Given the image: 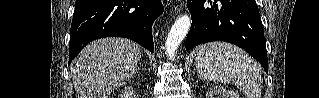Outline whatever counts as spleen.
I'll return each instance as SVG.
<instances>
[{
	"instance_id": "obj_1",
	"label": "spleen",
	"mask_w": 319,
	"mask_h": 98,
	"mask_svg": "<svg viewBox=\"0 0 319 98\" xmlns=\"http://www.w3.org/2000/svg\"><path fill=\"white\" fill-rule=\"evenodd\" d=\"M195 65L203 78L215 83H232L247 98H260V66L243 50L224 42L205 44L199 50Z\"/></svg>"
}]
</instances>
